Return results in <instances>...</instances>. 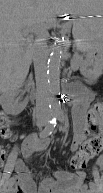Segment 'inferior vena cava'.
Returning <instances> with one entry per match:
<instances>
[{
  "label": "inferior vena cava",
  "instance_id": "inferior-vena-cava-1",
  "mask_svg": "<svg viewBox=\"0 0 103 193\" xmlns=\"http://www.w3.org/2000/svg\"><path fill=\"white\" fill-rule=\"evenodd\" d=\"M32 57L35 69L36 79V116L38 118L48 117L50 115L49 110V84L48 76L46 73V48L45 43L36 40L32 46Z\"/></svg>",
  "mask_w": 103,
  "mask_h": 193
}]
</instances>
